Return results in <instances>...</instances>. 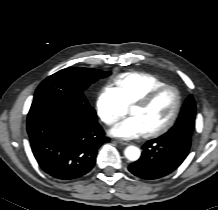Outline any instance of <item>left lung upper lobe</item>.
Masks as SVG:
<instances>
[{
	"label": "left lung upper lobe",
	"mask_w": 218,
	"mask_h": 210,
	"mask_svg": "<svg viewBox=\"0 0 218 210\" xmlns=\"http://www.w3.org/2000/svg\"><path fill=\"white\" fill-rule=\"evenodd\" d=\"M195 117H196V106L195 101L192 95H190L182 109L180 116L175 123V125L164 135L165 138H176L180 137V134H187L188 137L191 139L194 126H195Z\"/></svg>",
	"instance_id": "5c2ea615"
}]
</instances>
